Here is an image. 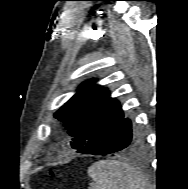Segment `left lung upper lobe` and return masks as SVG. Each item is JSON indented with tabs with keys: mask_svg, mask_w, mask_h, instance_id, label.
I'll list each match as a JSON object with an SVG mask.
<instances>
[{
	"mask_svg": "<svg viewBox=\"0 0 188 189\" xmlns=\"http://www.w3.org/2000/svg\"><path fill=\"white\" fill-rule=\"evenodd\" d=\"M73 137L71 146L87 154L96 147L124 118L120 103L94 80L80 85L77 93L56 113Z\"/></svg>",
	"mask_w": 188,
	"mask_h": 189,
	"instance_id": "left-lung-upper-lobe-1",
	"label": "left lung upper lobe"
}]
</instances>
